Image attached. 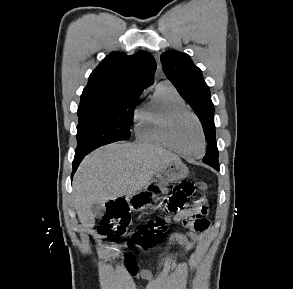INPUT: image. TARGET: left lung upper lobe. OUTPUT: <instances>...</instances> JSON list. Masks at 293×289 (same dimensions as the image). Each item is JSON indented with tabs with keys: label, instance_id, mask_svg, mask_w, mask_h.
Returning <instances> with one entry per match:
<instances>
[{
	"label": "left lung upper lobe",
	"instance_id": "left-lung-upper-lobe-1",
	"mask_svg": "<svg viewBox=\"0 0 293 289\" xmlns=\"http://www.w3.org/2000/svg\"><path fill=\"white\" fill-rule=\"evenodd\" d=\"M160 59L166 77L201 121L207 143L214 144L211 148H207L203 162L211 167L219 166L215 140L214 106L201 70L193 64L187 54L175 50L162 53Z\"/></svg>",
	"mask_w": 293,
	"mask_h": 289
}]
</instances>
